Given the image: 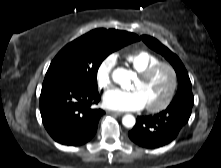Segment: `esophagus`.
Returning <instances> with one entry per match:
<instances>
[{
	"instance_id": "obj_1",
	"label": "esophagus",
	"mask_w": 221,
	"mask_h": 168,
	"mask_svg": "<svg viewBox=\"0 0 221 168\" xmlns=\"http://www.w3.org/2000/svg\"><path fill=\"white\" fill-rule=\"evenodd\" d=\"M110 114H113L115 116H121L123 113L117 112V111H109Z\"/></svg>"
}]
</instances>
